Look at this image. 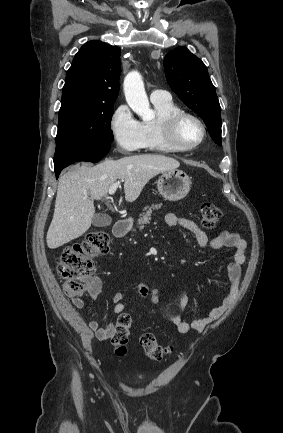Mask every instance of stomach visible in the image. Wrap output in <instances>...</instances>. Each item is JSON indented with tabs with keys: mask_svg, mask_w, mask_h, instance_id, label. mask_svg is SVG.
Here are the masks:
<instances>
[{
	"mask_svg": "<svg viewBox=\"0 0 283 433\" xmlns=\"http://www.w3.org/2000/svg\"><path fill=\"white\" fill-rule=\"evenodd\" d=\"M190 178L183 170H165L159 176L157 188L166 200H181L190 190Z\"/></svg>",
	"mask_w": 283,
	"mask_h": 433,
	"instance_id": "stomach-1",
	"label": "stomach"
}]
</instances>
